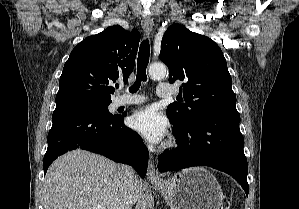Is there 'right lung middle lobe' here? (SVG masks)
I'll list each match as a JSON object with an SVG mask.
<instances>
[{
	"label": "right lung middle lobe",
	"mask_w": 299,
	"mask_h": 209,
	"mask_svg": "<svg viewBox=\"0 0 299 209\" xmlns=\"http://www.w3.org/2000/svg\"><path fill=\"white\" fill-rule=\"evenodd\" d=\"M111 102H77V103H70L69 105H75L80 108L86 109L88 111H91L98 116L103 117L104 119H113L116 118L117 116H113L112 114L109 113L108 110V105Z\"/></svg>",
	"instance_id": "obj_1"
}]
</instances>
